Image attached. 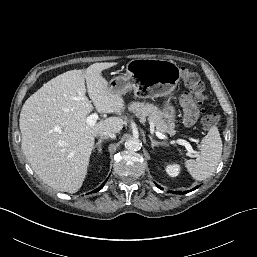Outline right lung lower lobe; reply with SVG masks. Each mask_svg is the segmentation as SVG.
<instances>
[{
  "instance_id": "obj_1",
  "label": "right lung lower lobe",
  "mask_w": 257,
  "mask_h": 257,
  "mask_svg": "<svg viewBox=\"0 0 257 257\" xmlns=\"http://www.w3.org/2000/svg\"><path fill=\"white\" fill-rule=\"evenodd\" d=\"M104 185H101L97 190H94L93 192H98L100 189H102Z\"/></svg>"
}]
</instances>
